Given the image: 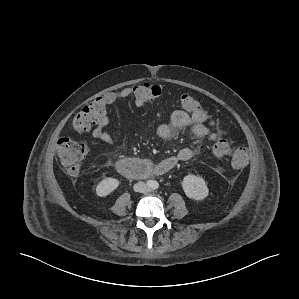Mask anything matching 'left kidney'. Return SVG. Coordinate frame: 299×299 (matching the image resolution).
<instances>
[{
	"mask_svg": "<svg viewBox=\"0 0 299 299\" xmlns=\"http://www.w3.org/2000/svg\"><path fill=\"white\" fill-rule=\"evenodd\" d=\"M182 187L186 196L194 200H203L209 193L205 180L191 174L183 178Z\"/></svg>",
	"mask_w": 299,
	"mask_h": 299,
	"instance_id": "1",
	"label": "left kidney"
}]
</instances>
